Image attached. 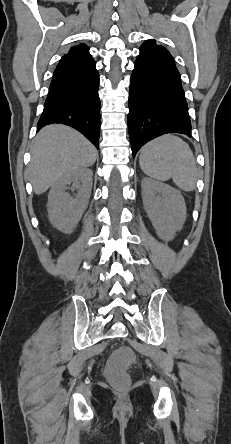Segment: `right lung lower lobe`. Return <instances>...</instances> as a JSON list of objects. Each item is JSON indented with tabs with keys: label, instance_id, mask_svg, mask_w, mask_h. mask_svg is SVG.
<instances>
[{
	"label": "right lung lower lobe",
	"instance_id": "1",
	"mask_svg": "<svg viewBox=\"0 0 231 444\" xmlns=\"http://www.w3.org/2000/svg\"><path fill=\"white\" fill-rule=\"evenodd\" d=\"M99 73L95 65L85 71L53 77L38 130L62 123L84 134L97 148L100 134Z\"/></svg>",
	"mask_w": 231,
	"mask_h": 444
}]
</instances>
